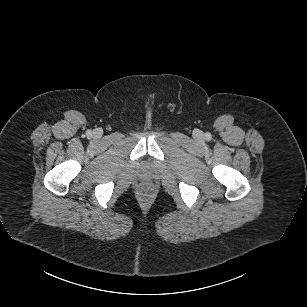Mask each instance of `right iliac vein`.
I'll use <instances>...</instances> for the list:
<instances>
[{
  "instance_id": "63e3f726",
  "label": "right iliac vein",
  "mask_w": 307,
  "mask_h": 307,
  "mask_svg": "<svg viewBox=\"0 0 307 307\" xmlns=\"http://www.w3.org/2000/svg\"><path fill=\"white\" fill-rule=\"evenodd\" d=\"M95 134H96V135H99V132L97 131V132H95Z\"/></svg>"
}]
</instances>
